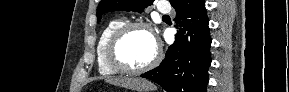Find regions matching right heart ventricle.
Returning a JSON list of instances; mask_svg holds the SVG:
<instances>
[{
	"label": "right heart ventricle",
	"instance_id": "right-heart-ventricle-1",
	"mask_svg": "<svg viewBox=\"0 0 289 92\" xmlns=\"http://www.w3.org/2000/svg\"><path fill=\"white\" fill-rule=\"evenodd\" d=\"M125 20L123 18H116L109 21L103 28L96 47V59L98 71L101 75L110 76L119 73V71L112 68L106 58V47L111 35L120 27Z\"/></svg>",
	"mask_w": 289,
	"mask_h": 92
}]
</instances>
